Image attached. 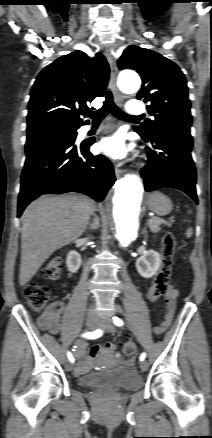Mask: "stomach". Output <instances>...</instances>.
Segmentation results:
<instances>
[{
  "instance_id": "stomach-1",
  "label": "stomach",
  "mask_w": 212,
  "mask_h": 438,
  "mask_svg": "<svg viewBox=\"0 0 212 438\" xmlns=\"http://www.w3.org/2000/svg\"><path fill=\"white\" fill-rule=\"evenodd\" d=\"M146 204L152 212L159 216L169 214L173 208L171 200L158 191L147 195Z\"/></svg>"
}]
</instances>
